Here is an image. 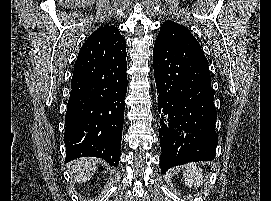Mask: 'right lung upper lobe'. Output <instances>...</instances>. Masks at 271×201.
<instances>
[{
    "instance_id": "cb5924a9",
    "label": "right lung upper lobe",
    "mask_w": 271,
    "mask_h": 201,
    "mask_svg": "<svg viewBox=\"0 0 271 201\" xmlns=\"http://www.w3.org/2000/svg\"><path fill=\"white\" fill-rule=\"evenodd\" d=\"M91 35H109V36H113L114 39L115 38H117V39H123V37L120 35L117 27L111 26L109 24H106V25L98 28Z\"/></svg>"
}]
</instances>
